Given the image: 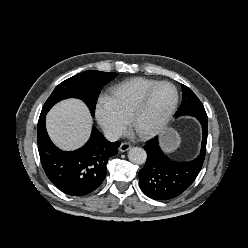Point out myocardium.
<instances>
[{
    "instance_id": "myocardium-1",
    "label": "myocardium",
    "mask_w": 248,
    "mask_h": 248,
    "mask_svg": "<svg viewBox=\"0 0 248 248\" xmlns=\"http://www.w3.org/2000/svg\"><path fill=\"white\" fill-rule=\"evenodd\" d=\"M162 85L169 86L174 91V100L172 102V105H171L170 109L168 110L166 115L152 128L144 130V131L137 130L136 122H137V119H138L139 115L142 113V111L146 107V105H147L152 93L155 91V89L158 88L159 86H162ZM178 101H179V93H178V90H177V88H176V86L174 84H172L171 82H168V81H158V82H156L155 84L150 86L143 93V95L141 96L139 101L134 105L133 109L131 110V113H130L129 118H128L130 127L139 136H141L143 138H150V137L156 136L161 131H163L165 129V127L169 124V122L171 121V119H172V117L175 114V111L177 109Z\"/></svg>"
}]
</instances>
